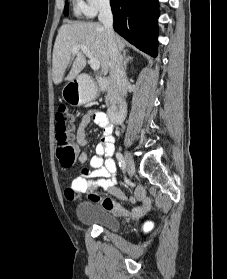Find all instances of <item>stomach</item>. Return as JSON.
Wrapping results in <instances>:
<instances>
[{
	"instance_id": "stomach-1",
	"label": "stomach",
	"mask_w": 227,
	"mask_h": 279,
	"mask_svg": "<svg viewBox=\"0 0 227 279\" xmlns=\"http://www.w3.org/2000/svg\"><path fill=\"white\" fill-rule=\"evenodd\" d=\"M97 95L95 85L90 81L72 79L62 90L63 99L70 105L79 106L93 100Z\"/></svg>"
}]
</instances>
